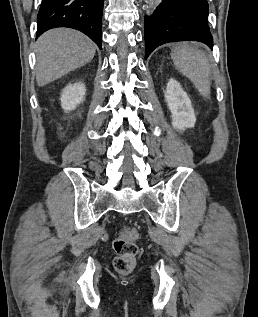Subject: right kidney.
Masks as SVG:
<instances>
[{
    "label": "right kidney",
    "instance_id": "ca27d5eb",
    "mask_svg": "<svg viewBox=\"0 0 258 317\" xmlns=\"http://www.w3.org/2000/svg\"><path fill=\"white\" fill-rule=\"evenodd\" d=\"M86 94V86L82 82H74V84H67L62 90L61 106L65 112L68 110H75L77 104L83 102Z\"/></svg>",
    "mask_w": 258,
    "mask_h": 317
}]
</instances>
